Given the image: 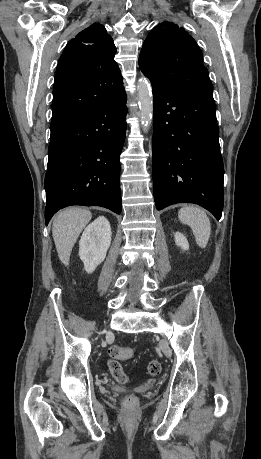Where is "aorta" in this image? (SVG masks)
Here are the masks:
<instances>
[{"label": "aorta", "mask_w": 261, "mask_h": 459, "mask_svg": "<svg viewBox=\"0 0 261 459\" xmlns=\"http://www.w3.org/2000/svg\"><path fill=\"white\" fill-rule=\"evenodd\" d=\"M137 96L142 129L143 131H147L153 119V96L151 84L145 77L138 80Z\"/></svg>", "instance_id": "obj_1"}]
</instances>
